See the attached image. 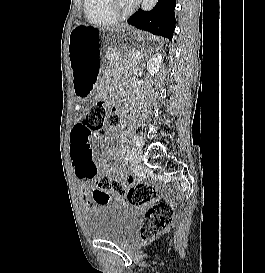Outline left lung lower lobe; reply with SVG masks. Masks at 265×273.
Returning a JSON list of instances; mask_svg holds the SVG:
<instances>
[{"instance_id":"0a47b994","label":"left lung lower lobe","mask_w":265,"mask_h":273,"mask_svg":"<svg viewBox=\"0 0 265 273\" xmlns=\"http://www.w3.org/2000/svg\"><path fill=\"white\" fill-rule=\"evenodd\" d=\"M175 0H158L155 7L146 12L139 9L128 23L138 29L172 40L175 29Z\"/></svg>"}]
</instances>
